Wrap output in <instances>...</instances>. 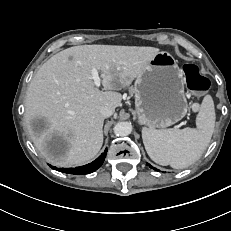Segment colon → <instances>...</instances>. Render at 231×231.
Instances as JSON below:
<instances>
[{
	"mask_svg": "<svg viewBox=\"0 0 231 231\" xmlns=\"http://www.w3.org/2000/svg\"><path fill=\"white\" fill-rule=\"evenodd\" d=\"M184 76L186 78L187 86L194 92L206 91L209 86V80L200 74L199 69L194 64H185L183 66Z\"/></svg>",
	"mask_w": 231,
	"mask_h": 231,
	"instance_id": "colon-1",
	"label": "colon"
}]
</instances>
